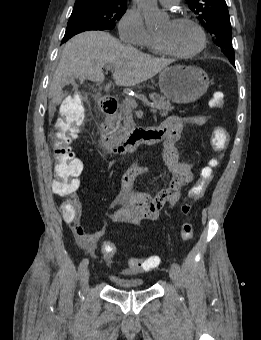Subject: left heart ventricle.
<instances>
[{
	"label": "left heart ventricle",
	"instance_id": "obj_1",
	"mask_svg": "<svg viewBox=\"0 0 261 340\" xmlns=\"http://www.w3.org/2000/svg\"><path fill=\"white\" fill-rule=\"evenodd\" d=\"M163 43L171 50L188 53L195 50L200 43L198 31L188 23L166 22L157 32Z\"/></svg>",
	"mask_w": 261,
	"mask_h": 340
}]
</instances>
